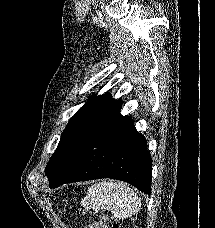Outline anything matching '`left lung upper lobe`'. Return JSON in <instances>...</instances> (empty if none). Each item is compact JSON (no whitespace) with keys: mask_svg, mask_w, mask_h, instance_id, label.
Listing matches in <instances>:
<instances>
[{"mask_svg":"<svg viewBox=\"0 0 215 228\" xmlns=\"http://www.w3.org/2000/svg\"><path fill=\"white\" fill-rule=\"evenodd\" d=\"M121 106L122 102L112 99L108 93L94 96L75 113L63 131L58 147L45 168V174L49 180L59 173L86 139Z\"/></svg>","mask_w":215,"mask_h":228,"instance_id":"obj_1","label":"left lung upper lobe"}]
</instances>
